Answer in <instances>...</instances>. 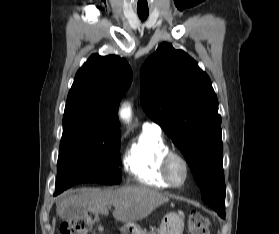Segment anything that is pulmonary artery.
<instances>
[{
	"mask_svg": "<svg viewBox=\"0 0 279 234\" xmlns=\"http://www.w3.org/2000/svg\"><path fill=\"white\" fill-rule=\"evenodd\" d=\"M143 129L159 132L160 131V126L158 124L154 123V122H146L143 125Z\"/></svg>",
	"mask_w": 279,
	"mask_h": 234,
	"instance_id": "e3ab8cb5",
	"label": "pulmonary artery"
}]
</instances>
